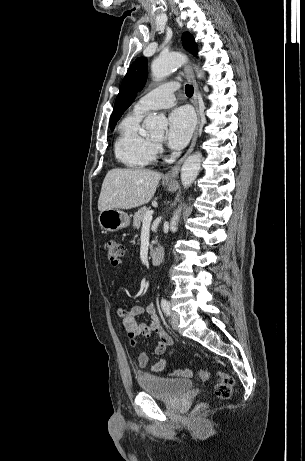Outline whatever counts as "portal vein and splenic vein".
Here are the masks:
<instances>
[{
    "mask_svg": "<svg viewBox=\"0 0 305 461\" xmlns=\"http://www.w3.org/2000/svg\"><path fill=\"white\" fill-rule=\"evenodd\" d=\"M152 215L153 211H148L143 218V224H150L153 218Z\"/></svg>",
    "mask_w": 305,
    "mask_h": 461,
    "instance_id": "portal-vein-and-splenic-vein-1",
    "label": "portal vein and splenic vein"
}]
</instances>
